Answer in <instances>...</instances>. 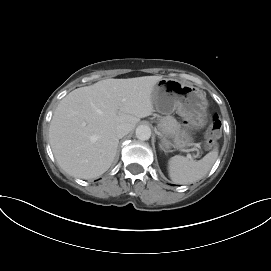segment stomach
<instances>
[{"mask_svg": "<svg viewBox=\"0 0 271 271\" xmlns=\"http://www.w3.org/2000/svg\"><path fill=\"white\" fill-rule=\"evenodd\" d=\"M152 100L158 112L170 114L176 111L188 122L186 130L167 134L161 131L162 146L178 149L191 146V131L203 128L207 123L208 101L204 91L175 79L162 78L152 92Z\"/></svg>", "mask_w": 271, "mask_h": 271, "instance_id": "1", "label": "stomach"}]
</instances>
